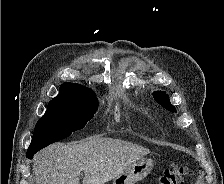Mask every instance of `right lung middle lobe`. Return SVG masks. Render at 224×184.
<instances>
[{"label":"right lung middle lobe","mask_w":224,"mask_h":184,"mask_svg":"<svg viewBox=\"0 0 224 184\" xmlns=\"http://www.w3.org/2000/svg\"><path fill=\"white\" fill-rule=\"evenodd\" d=\"M98 101L95 95L80 100H52L35 126L28 151L37 152L85 127L92 119Z\"/></svg>","instance_id":"obj_1"}]
</instances>
